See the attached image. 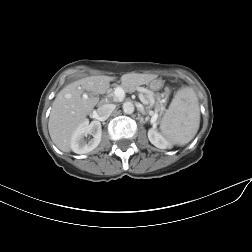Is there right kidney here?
<instances>
[{"label":"right kidney","instance_id":"obj_1","mask_svg":"<svg viewBox=\"0 0 252 252\" xmlns=\"http://www.w3.org/2000/svg\"><path fill=\"white\" fill-rule=\"evenodd\" d=\"M91 134L93 138L85 141L84 137ZM102 127L99 121H83L73 132L71 137V149L77 154H85L94 150L101 141Z\"/></svg>","mask_w":252,"mask_h":252}]
</instances>
